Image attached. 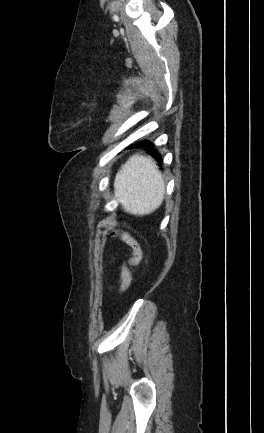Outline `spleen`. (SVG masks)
<instances>
[{
    "label": "spleen",
    "instance_id": "1",
    "mask_svg": "<svg viewBox=\"0 0 264 433\" xmlns=\"http://www.w3.org/2000/svg\"><path fill=\"white\" fill-rule=\"evenodd\" d=\"M114 189L123 209L139 216L159 208L165 195V183L155 161L139 154L122 165L116 174Z\"/></svg>",
    "mask_w": 264,
    "mask_h": 433
}]
</instances>
